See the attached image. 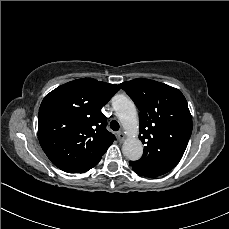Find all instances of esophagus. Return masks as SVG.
<instances>
[{
  "label": "esophagus",
  "mask_w": 229,
  "mask_h": 229,
  "mask_svg": "<svg viewBox=\"0 0 229 229\" xmlns=\"http://www.w3.org/2000/svg\"><path fill=\"white\" fill-rule=\"evenodd\" d=\"M118 138H119V141H120V142L124 141L125 138H126L125 133H124L123 131H119V132H118Z\"/></svg>",
  "instance_id": "1"
}]
</instances>
